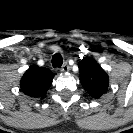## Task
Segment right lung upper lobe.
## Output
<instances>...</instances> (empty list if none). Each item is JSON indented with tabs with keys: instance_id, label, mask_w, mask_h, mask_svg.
I'll use <instances>...</instances> for the list:
<instances>
[{
	"instance_id": "obj_1",
	"label": "right lung upper lobe",
	"mask_w": 133,
	"mask_h": 133,
	"mask_svg": "<svg viewBox=\"0 0 133 133\" xmlns=\"http://www.w3.org/2000/svg\"><path fill=\"white\" fill-rule=\"evenodd\" d=\"M53 77L54 73L49 69L33 65L20 80L21 90L30 97H41L49 89Z\"/></svg>"
}]
</instances>
